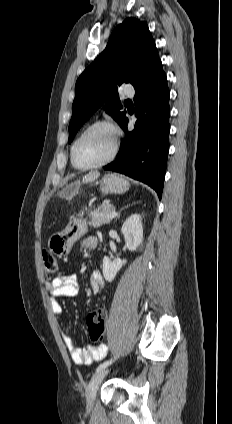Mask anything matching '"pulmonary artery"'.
<instances>
[{
	"mask_svg": "<svg viewBox=\"0 0 232 424\" xmlns=\"http://www.w3.org/2000/svg\"><path fill=\"white\" fill-rule=\"evenodd\" d=\"M124 94L126 96H133L135 94V91L131 85H127L124 89Z\"/></svg>",
	"mask_w": 232,
	"mask_h": 424,
	"instance_id": "1",
	"label": "pulmonary artery"
}]
</instances>
